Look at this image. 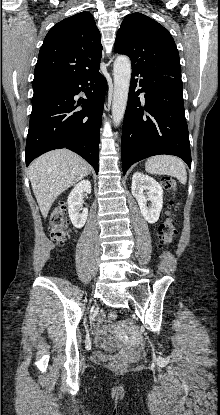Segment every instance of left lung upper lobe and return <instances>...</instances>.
Here are the masks:
<instances>
[{
	"instance_id": "5c2ea615",
	"label": "left lung upper lobe",
	"mask_w": 220,
	"mask_h": 415,
	"mask_svg": "<svg viewBox=\"0 0 220 415\" xmlns=\"http://www.w3.org/2000/svg\"><path fill=\"white\" fill-rule=\"evenodd\" d=\"M114 49L131 58L132 69L181 77L179 53L173 37L144 14L134 13L124 18Z\"/></svg>"
}]
</instances>
